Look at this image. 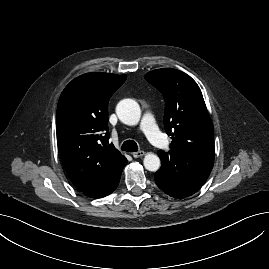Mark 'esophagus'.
Wrapping results in <instances>:
<instances>
[{"instance_id": "34e87169", "label": "esophagus", "mask_w": 269, "mask_h": 269, "mask_svg": "<svg viewBox=\"0 0 269 269\" xmlns=\"http://www.w3.org/2000/svg\"><path fill=\"white\" fill-rule=\"evenodd\" d=\"M144 154H145L144 151H137V152L132 153V156L134 158H139V157H142Z\"/></svg>"}]
</instances>
